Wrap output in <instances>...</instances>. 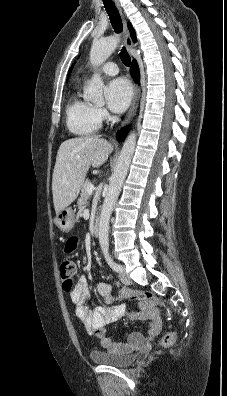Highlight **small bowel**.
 <instances>
[{"mask_svg":"<svg viewBox=\"0 0 227 396\" xmlns=\"http://www.w3.org/2000/svg\"><path fill=\"white\" fill-rule=\"evenodd\" d=\"M77 246V239L71 238L65 247L67 253L72 252ZM98 294L107 303H113L112 286L107 282H99L96 285ZM131 290H125L122 297H130L134 294ZM88 296L87 280L84 276H80L73 290L70 293V298L75 305V315L84 324L87 331L95 336L101 342L102 346L108 350H118L125 345L118 342L106 334V327L116 322L127 315L126 306L124 304H115L108 307L98 306L91 310L86 305ZM138 300V311L128 314L132 320H146L148 321V338H153L160 333L161 320L154 305L145 299ZM142 333L132 332L128 336V346L138 345L147 339Z\"/></svg>","mask_w":227,"mask_h":396,"instance_id":"c3829d8e","label":"small bowel"}]
</instances>
